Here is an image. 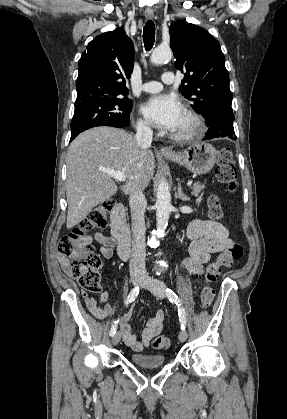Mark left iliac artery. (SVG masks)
<instances>
[{
	"label": "left iliac artery",
	"mask_w": 287,
	"mask_h": 419,
	"mask_svg": "<svg viewBox=\"0 0 287 419\" xmlns=\"http://www.w3.org/2000/svg\"><path fill=\"white\" fill-rule=\"evenodd\" d=\"M164 291L169 301L171 303H175L178 306V315H179V321L181 324V329L185 330L186 316H185V311L183 307L181 306V300L178 298L177 294L170 288H166Z\"/></svg>",
	"instance_id": "left-iliac-artery-1"
}]
</instances>
